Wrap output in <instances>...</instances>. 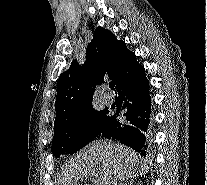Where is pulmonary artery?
Masks as SVG:
<instances>
[{
	"label": "pulmonary artery",
	"instance_id": "pulmonary-artery-1",
	"mask_svg": "<svg viewBox=\"0 0 207 185\" xmlns=\"http://www.w3.org/2000/svg\"><path fill=\"white\" fill-rule=\"evenodd\" d=\"M102 99H103L106 103H108V104H110V103L113 102V98H112V96H109V95H103V96H102Z\"/></svg>",
	"mask_w": 207,
	"mask_h": 185
}]
</instances>
